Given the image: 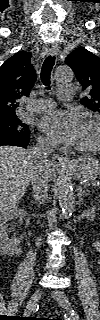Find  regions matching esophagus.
Here are the masks:
<instances>
[{
    "label": "esophagus",
    "mask_w": 100,
    "mask_h": 320,
    "mask_svg": "<svg viewBox=\"0 0 100 320\" xmlns=\"http://www.w3.org/2000/svg\"><path fill=\"white\" fill-rule=\"evenodd\" d=\"M59 52V47L57 45H53L48 54L51 56H56ZM53 166L59 169H66L70 165V158L68 156H63L59 154H54L52 157Z\"/></svg>",
    "instance_id": "1"
}]
</instances>
